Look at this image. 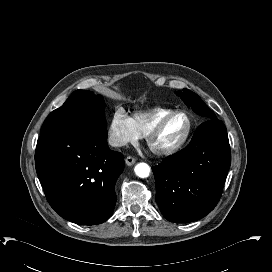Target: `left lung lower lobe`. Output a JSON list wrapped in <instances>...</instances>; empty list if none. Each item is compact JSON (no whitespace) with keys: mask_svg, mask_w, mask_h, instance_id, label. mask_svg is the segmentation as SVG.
<instances>
[{"mask_svg":"<svg viewBox=\"0 0 272 272\" xmlns=\"http://www.w3.org/2000/svg\"><path fill=\"white\" fill-rule=\"evenodd\" d=\"M230 164L227 130L217 118L208 119L185 150L152 167L156 202L164 217L188 223L210 213L221 197Z\"/></svg>","mask_w":272,"mask_h":272,"instance_id":"left-lung-lower-lobe-1","label":"left lung lower lobe"}]
</instances>
